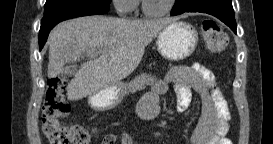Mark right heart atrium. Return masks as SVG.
Instances as JSON below:
<instances>
[{"mask_svg":"<svg viewBox=\"0 0 273 144\" xmlns=\"http://www.w3.org/2000/svg\"><path fill=\"white\" fill-rule=\"evenodd\" d=\"M116 12L120 15L133 13L137 8L136 0H112Z\"/></svg>","mask_w":273,"mask_h":144,"instance_id":"obj_1","label":"right heart atrium"}]
</instances>
